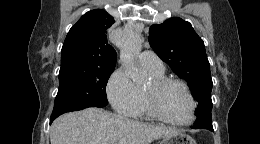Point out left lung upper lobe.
<instances>
[{"mask_svg":"<svg viewBox=\"0 0 260 144\" xmlns=\"http://www.w3.org/2000/svg\"><path fill=\"white\" fill-rule=\"evenodd\" d=\"M149 43L173 72L189 83L193 97L199 102V107L195 110L197 121L194 128L213 130V84L203 40L189 22L173 17L150 27Z\"/></svg>","mask_w":260,"mask_h":144,"instance_id":"1","label":"left lung upper lobe"}]
</instances>
